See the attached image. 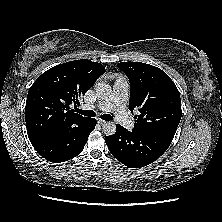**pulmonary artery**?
I'll return each mask as SVG.
<instances>
[{
	"label": "pulmonary artery",
	"mask_w": 222,
	"mask_h": 222,
	"mask_svg": "<svg viewBox=\"0 0 222 222\" xmlns=\"http://www.w3.org/2000/svg\"><path fill=\"white\" fill-rule=\"evenodd\" d=\"M129 83L125 77H118L113 85V91L108 98L91 106V109L112 111L116 120L125 128L133 129L135 123L126 110L128 100Z\"/></svg>",
	"instance_id": "obj_1"
}]
</instances>
